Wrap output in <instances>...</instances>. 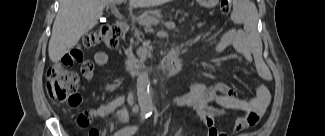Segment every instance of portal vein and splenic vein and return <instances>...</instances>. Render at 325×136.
Returning a JSON list of instances; mask_svg holds the SVG:
<instances>
[{"instance_id": "portal-vein-and-splenic-vein-1", "label": "portal vein and splenic vein", "mask_w": 325, "mask_h": 136, "mask_svg": "<svg viewBox=\"0 0 325 136\" xmlns=\"http://www.w3.org/2000/svg\"><path fill=\"white\" fill-rule=\"evenodd\" d=\"M117 2H123V0H117ZM144 21L146 22L147 25L154 23L155 19L153 17H148L145 18ZM166 25H169L170 28H174L175 27V23L174 22H168L166 23Z\"/></svg>"}]
</instances>
